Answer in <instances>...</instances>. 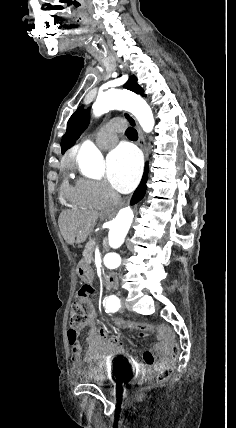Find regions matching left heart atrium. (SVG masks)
Segmentation results:
<instances>
[{
	"mask_svg": "<svg viewBox=\"0 0 236 428\" xmlns=\"http://www.w3.org/2000/svg\"><path fill=\"white\" fill-rule=\"evenodd\" d=\"M107 177L112 186L127 193L135 188L142 173V158L130 145L115 148L106 160Z\"/></svg>",
	"mask_w": 236,
	"mask_h": 428,
	"instance_id": "1",
	"label": "left heart atrium"
}]
</instances>
